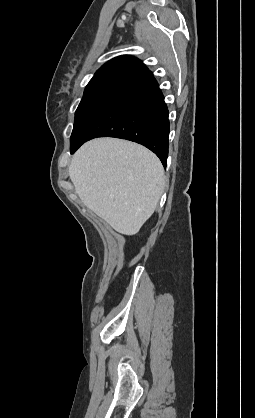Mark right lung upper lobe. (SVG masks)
I'll use <instances>...</instances> for the list:
<instances>
[{
	"label": "right lung upper lobe",
	"instance_id": "right-lung-upper-lobe-1",
	"mask_svg": "<svg viewBox=\"0 0 255 418\" xmlns=\"http://www.w3.org/2000/svg\"><path fill=\"white\" fill-rule=\"evenodd\" d=\"M152 76V73L139 59L123 55L104 64L95 73L89 84H113L126 88Z\"/></svg>",
	"mask_w": 255,
	"mask_h": 418
}]
</instances>
